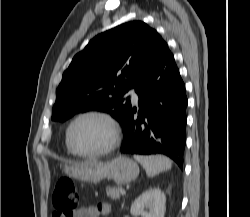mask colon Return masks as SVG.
Returning a JSON list of instances; mask_svg holds the SVG:
<instances>
[{"label":"colon","mask_w":250,"mask_h":217,"mask_svg":"<svg viewBox=\"0 0 250 217\" xmlns=\"http://www.w3.org/2000/svg\"><path fill=\"white\" fill-rule=\"evenodd\" d=\"M78 201V192L74 182L67 177L59 178L52 196L53 217H72Z\"/></svg>","instance_id":"5ec220e1"}]
</instances>
